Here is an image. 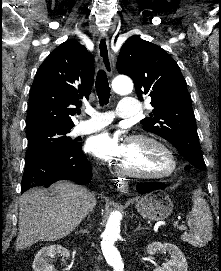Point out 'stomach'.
<instances>
[{"label":"stomach","instance_id":"stomach-1","mask_svg":"<svg viewBox=\"0 0 221 271\" xmlns=\"http://www.w3.org/2000/svg\"><path fill=\"white\" fill-rule=\"evenodd\" d=\"M136 209L146 219L158 221V219H166L168 215H171L173 203L164 189H155L137 201Z\"/></svg>","mask_w":221,"mask_h":271}]
</instances>
